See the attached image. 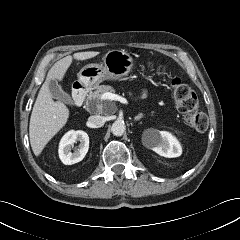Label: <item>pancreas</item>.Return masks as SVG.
I'll list each match as a JSON object with an SVG mask.
<instances>
[{
    "mask_svg": "<svg viewBox=\"0 0 240 240\" xmlns=\"http://www.w3.org/2000/svg\"><path fill=\"white\" fill-rule=\"evenodd\" d=\"M114 91H115L114 88L109 85L98 86L94 92L89 94L86 101L87 106L90 107V103L94 102L96 104L98 112L104 111L106 106L108 105V102L103 101V99H101V96L106 92H114Z\"/></svg>",
    "mask_w": 240,
    "mask_h": 240,
    "instance_id": "pancreas-1",
    "label": "pancreas"
}]
</instances>
